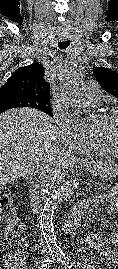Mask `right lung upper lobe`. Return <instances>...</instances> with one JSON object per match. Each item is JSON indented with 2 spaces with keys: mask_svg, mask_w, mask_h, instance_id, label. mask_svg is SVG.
Instances as JSON below:
<instances>
[{
  "mask_svg": "<svg viewBox=\"0 0 118 269\" xmlns=\"http://www.w3.org/2000/svg\"><path fill=\"white\" fill-rule=\"evenodd\" d=\"M43 76V66L38 63L21 67L0 88V97L14 93L27 96L40 103L50 104V84Z\"/></svg>",
  "mask_w": 118,
  "mask_h": 269,
  "instance_id": "cb5924a9",
  "label": "right lung upper lobe"
}]
</instances>
